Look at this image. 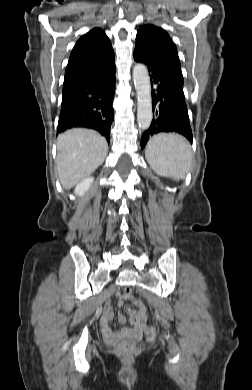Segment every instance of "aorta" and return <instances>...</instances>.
Returning a JSON list of instances; mask_svg holds the SVG:
<instances>
[{"mask_svg": "<svg viewBox=\"0 0 252 390\" xmlns=\"http://www.w3.org/2000/svg\"><path fill=\"white\" fill-rule=\"evenodd\" d=\"M133 80L137 92V122L142 130H146L151 124L153 113L150 78L145 65L134 66Z\"/></svg>", "mask_w": 252, "mask_h": 390, "instance_id": "obj_1", "label": "aorta"}]
</instances>
